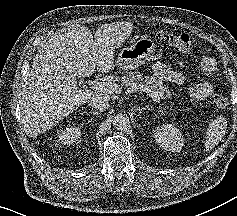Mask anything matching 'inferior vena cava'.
<instances>
[{"label": "inferior vena cava", "instance_id": "602c4592", "mask_svg": "<svg viewBox=\"0 0 237 216\" xmlns=\"http://www.w3.org/2000/svg\"><path fill=\"white\" fill-rule=\"evenodd\" d=\"M88 104L90 107L104 112L110 108L109 96L105 93L95 92L88 100Z\"/></svg>", "mask_w": 237, "mask_h": 216}]
</instances>
